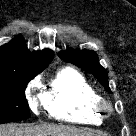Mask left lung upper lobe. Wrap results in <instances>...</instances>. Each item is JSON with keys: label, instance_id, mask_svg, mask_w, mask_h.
<instances>
[{"label": "left lung upper lobe", "instance_id": "1", "mask_svg": "<svg viewBox=\"0 0 136 136\" xmlns=\"http://www.w3.org/2000/svg\"><path fill=\"white\" fill-rule=\"evenodd\" d=\"M58 55L61 59L77 65L88 73H92L104 88L111 93L107 71L99 64L98 57L93 51L68 49L61 51Z\"/></svg>", "mask_w": 136, "mask_h": 136}]
</instances>
